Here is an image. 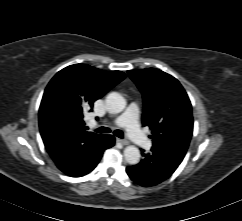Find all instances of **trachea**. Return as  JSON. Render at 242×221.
Listing matches in <instances>:
<instances>
[{
  "label": "trachea",
  "mask_w": 242,
  "mask_h": 221,
  "mask_svg": "<svg viewBox=\"0 0 242 221\" xmlns=\"http://www.w3.org/2000/svg\"><path fill=\"white\" fill-rule=\"evenodd\" d=\"M95 131L98 133H110L111 132V130L107 127H100L98 129H96ZM113 133H114V135H116L119 138L124 137V134L121 130H115Z\"/></svg>",
  "instance_id": "obj_1"
}]
</instances>
